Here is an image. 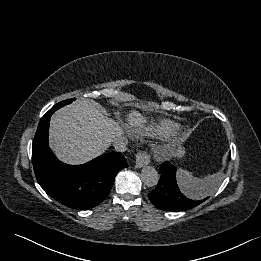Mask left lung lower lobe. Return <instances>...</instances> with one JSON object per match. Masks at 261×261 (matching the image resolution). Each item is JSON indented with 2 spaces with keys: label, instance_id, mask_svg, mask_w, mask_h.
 <instances>
[{
  "label": "left lung lower lobe",
  "instance_id": "0a47b994",
  "mask_svg": "<svg viewBox=\"0 0 261 261\" xmlns=\"http://www.w3.org/2000/svg\"><path fill=\"white\" fill-rule=\"evenodd\" d=\"M160 173L161 177L157 187L148 194L149 199L158 209L165 211L187 210L198 206L209 198L196 200L191 197L206 193L207 190L204 188L180 187L177 182L176 168L170 162L166 161L160 165Z\"/></svg>",
  "mask_w": 261,
  "mask_h": 261
}]
</instances>
